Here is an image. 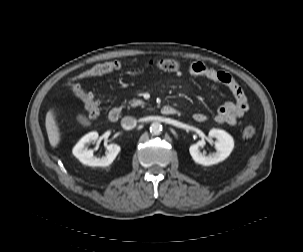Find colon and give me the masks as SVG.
<instances>
[{
    "label": "colon",
    "instance_id": "obj_1",
    "mask_svg": "<svg viewBox=\"0 0 303 252\" xmlns=\"http://www.w3.org/2000/svg\"><path fill=\"white\" fill-rule=\"evenodd\" d=\"M147 66L153 69H159L166 72L178 73L181 71V63L172 59H152L147 61ZM122 68V64L119 61H107L104 63H98L83 71L71 82L72 90L79 95L83 100V110L90 116L95 117L98 114V103L90 93L83 91L82 87L78 83L79 80L91 77L109 74L116 72ZM256 134V128L253 125H246L243 129V136L245 138H252Z\"/></svg>",
    "mask_w": 303,
    "mask_h": 252
}]
</instances>
